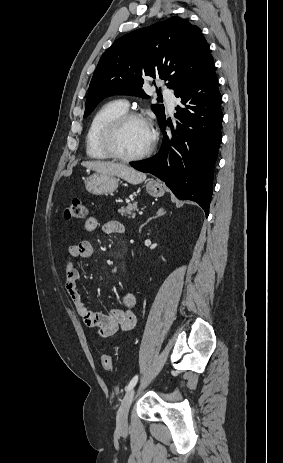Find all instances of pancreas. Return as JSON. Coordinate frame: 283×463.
Wrapping results in <instances>:
<instances>
[{"label":"pancreas","mask_w":283,"mask_h":463,"mask_svg":"<svg viewBox=\"0 0 283 463\" xmlns=\"http://www.w3.org/2000/svg\"><path fill=\"white\" fill-rule=\"evenodd\" d=\"M137 210V203H130L126 207H121L118 209V212L122 216H128V218H134L135 217V211Z\"/></svg>","instance_id":"cf45deb5"}]
</instances>
